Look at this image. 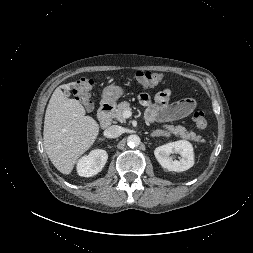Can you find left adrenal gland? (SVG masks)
Returning <instances> with one entry per match:
<instances>
[{
	"mask_svg": "<svg viewBox=\"0 0 253 253\" xmlns=\"http://www.w3.org/2000/svg\"><path fill=\"white\" fill-rule=\"evenodd\" d=\"M151 137L168 136L162 130H155L150 134Z\"/></svg>",
	"mask_w": 253,
	"mask_h": 253,
	"instance_id": "obj_1",
	"label": "left adrenal gland"
}]
</instances>
